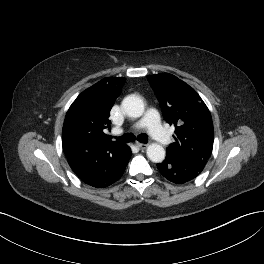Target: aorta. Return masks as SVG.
<instances>
[{"mask_svg":"<svg viewBox=\"0 0 264 264\" xmlns=\"http://www.w3.org/2000/svg\"><path fill=\"white\" fill-rule=\"evenodd\" d=\"M122 108L125 113L133 118H138L144 113V103L136 95H129L122 101ZM148 158L155 163H160L165 159V150L158 143H152L146 150Z\"/></svg>","mask_w":264,"mask_h":264,"instance_id":"obj_1","label":"aorta"}]
</instances>
